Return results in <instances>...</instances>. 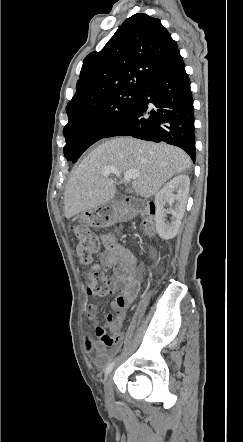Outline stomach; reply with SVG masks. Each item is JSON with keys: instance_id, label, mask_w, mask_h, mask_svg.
Wrapping results in <instances>:
<instances>
[{"instance_id": "1", "label": "stomach", "mask_w": 243, "mask_h": 442, "mask_svg": "<svg viewBox=\"0 0 243 442\" xmlns=\"http://www.w3.org/2000/svg\"><path fill=\"white\" fill-rule=\"evenodd\" d=\"M79 218L90 227L104 228L116 223L119 213L112 203H107L96 209L82 212Z\"/></svg>"}]
</instances>
